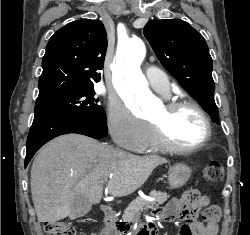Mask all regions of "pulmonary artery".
Instances as JSON below:
<instances>
[{
    "label": "pulmonary artery",
    "mask_w": 250,
    "mask_h": 235,
    "mask_svg": "<svg viewBox=\"0 0 250 235\" xmlns=\"http://www.w3.org/2000/svg\"><path fill=\"white\" fill-rule=\"evenodd\" d=\"M148 81L154 91L164 96L169 95L170 85L167 76L157 69H150L147 73Z\"/></svg>",
    "instance_id": "e3ab8cb5"
}]
</instances>
